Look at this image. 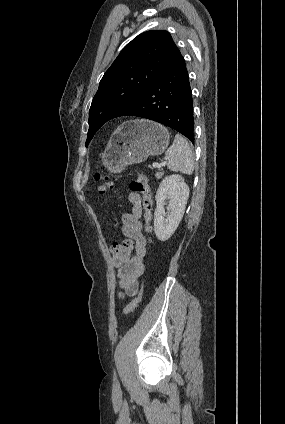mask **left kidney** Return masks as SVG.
<instances>
[{"instance_id": "left-kidney-1", "label": "left kidney", "mask_w": 285, "mask_h": 424, "mask_svg": "<svg viewBox=\"0 0 285 424\" xmlns=\"http://www.w3.org/2000/svg\"><path fill=\"white\" fill-rule=\"evenodd\" d=\"M189 187L181 175L166 176L159 185L155 200L157 207L154 213V231L160 241H167L182 220ZM169 199V213H165V200Z\"/></svg>"}]
</instances>
